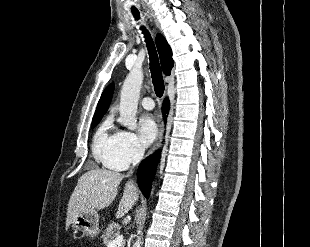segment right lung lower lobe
I'll list each match as a JSON object with an SVG mask.
<instances>
[{
	"instance_id": "98d812e1",
	"label": "right lung lower lobe",
	"mask_w": 310,
	"mask_h": 247,
	"mask_svg": "<svg viewBox=\"0 0 310 247\" xmlns=\"http://www.w3.org/2000/svg\"><path fill=\"white\" fill-rule=\"evenodd\" d=\"M163 116L166 118V114L169 111V100L165 99L162 106ZM158 154L147 157L146 160H143L139 165L137 171V181L138 186L146 198L149 197L151 186H152V177L155 173L156 163H157Z\"/></svg>"
}]
</instances>
